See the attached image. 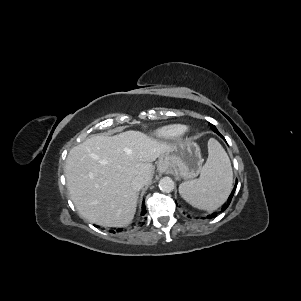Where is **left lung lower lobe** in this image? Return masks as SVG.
<instances>
[{"label":"left lung lower lobe","mask_w":301,"mask_h":301,"mask_svg":"<svg viewBox=\"0 0 301 301\" xmlns=\"http://www.w3.org/2000/svg\"><path fill=\"white\" fill-rule=\"evenodd\" d=\"M214 132H216L218 135H220V136L223 138V136L218 132L217 129H215ZM223 139H224V138H223ZM236 187H237V180H236V184H235V186H234V188H233V190H232V192H231V194H230V196H229L227 202L222 206L221 212L224 211V210H226L227 207L229 206V204H230V202H231V199H232V197H233V195H234V192H235V190H236ZM216 216H217V212H214V213L208 215L207 218L211 219V218H214V217H216Z\"/></svg>","instance_id":"1"}]
</instances>
